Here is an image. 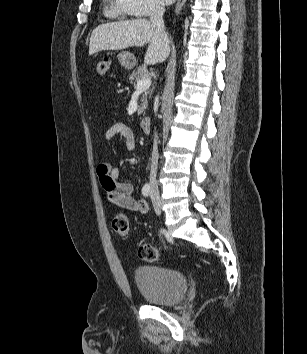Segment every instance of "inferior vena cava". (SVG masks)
I'll return each mask as SVG.
<instances>
[{"label":"inferior vena cava","instance_id":"1","mask_svg":"<svg viewBox=\"0 0 307 354\" xmlns=\"http://www.w3.org/2000/svg\"><path fill=\"white\" fill-rule=\"evenodd\" d=\"M164 7L156 4L150 14L151 24L156 27L167 39L168 35L165 31V25L163 21ZM157 134L155 133L154 144H153V152H152V160H151V170H150V186L151 192L153 194H158V184L156 180L157 175V165H158V143H157Z\"/></svg>","mask_w":307,"mask_h":354}]
</instances>
